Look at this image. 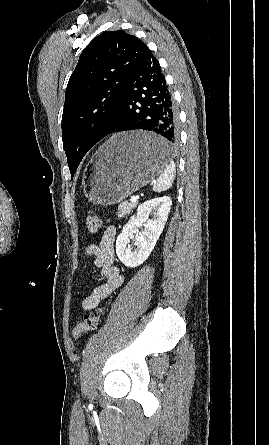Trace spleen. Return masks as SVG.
I'll return each instance as SVG.
<instances>
[{
    "label": "spleen",
    "mask_w": 269,
    "mask_h": 445,
    "mask_svg": "<svg viewBox=\"0 0 269 445\" xmlns=\"http://www.w3.org/2000/svg\"><path fill=\"white\" fill-rule=\"evenodd\" d=\"M175 178V164L170 161L154 182L153 191L162 192L171 188Z\"/></svg>",
    "instance_id": "3e777b00"
}]
</instances>
